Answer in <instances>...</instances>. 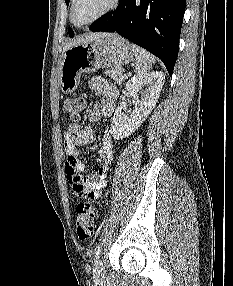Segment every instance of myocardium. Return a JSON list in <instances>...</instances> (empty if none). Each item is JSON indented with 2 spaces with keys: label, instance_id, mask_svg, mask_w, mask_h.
Here are the masks:
<instances>
[{
  "label": "myocardium",
  "instance_id": "f54148a6",
  "mask_svg": "<svg viewBox=\"0 0 233 286\" xmlns=\"http://www.w3.org/2000/svg\"><path fill=\"white\" fill-rule=\"evenodd\" d=\"M119 3H120V0H111L110 5L104 11H102L100 14H98L96 17H94L90 21L83 23V24H79L74 19V8H75L76 0H71L70 20L76 27L89 26V25L95 23L96 21H98L99 19L103 18L104 16H106L107 14L112 12L113 10H115L118 7Z\"/></svg>",
  "mask_w": 233,
  "mask_h": 286
}]
</instances>
